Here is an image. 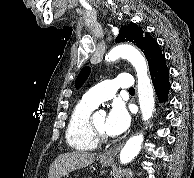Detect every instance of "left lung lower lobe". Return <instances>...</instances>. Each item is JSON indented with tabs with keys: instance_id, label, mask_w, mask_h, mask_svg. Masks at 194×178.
Returning a JSON list of instances; mask_svg holds the SVG:
<instances>
[{
	"instance_id": "1",
	"label": "left lung lower lobe",
	"mask_w": 194,
	"mask_h": 178,
	"mask_svg": "<svg viewBox=\"0 0 194 178\" xmlns=\"http://www.w3.org/2000/svg\"><path fill=\"white\" fill-rule=\"evenodd\" d=\"M151 79L154 84L159 101H164L170 89L169 70L166 66L165 57L160 58L150 70Z\"/></svg>"
}]
</instances>
